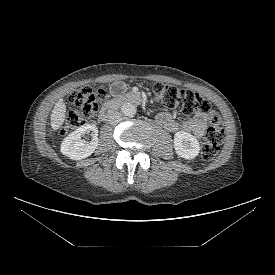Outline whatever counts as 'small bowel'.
Wrapping results in <instances>:
<instances>
[{
    "instance_id": "c3829d8e",
    "label": "small bowel",
    "mask_w": 275,
    "mask_h": 275,
    "mask_svg": "<svg viewBox=\"0 0 275 275\" xmlns=\"http://www.w3.org/2000/svg\"><path fill=\"white\" fill-rule=\"evenodd\" d=\"M124 90L125 85L120 81L113 83L110 87V93L113 95H118ZM213 114V112L196 114L184 122L178 123L170 114L162 112L157 116V121L168 131L176 132L180 129H183L185 131L194 133L197 137H201L207 123L211 120Z\"/></svg>"
}]
</instances>
